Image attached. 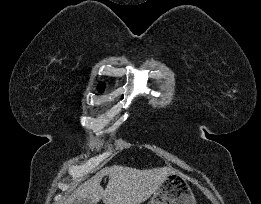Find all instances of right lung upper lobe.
I'll list each match as a JSON object with an SVG mask.
<instances>
[{"label": "right lung upper lobe", "instance_id": "1", "mask_svg": "<svg viewBox=\"0 0 261 204\" xmlns=\"http://www.w3.org/2000/svg\"><path fill=\"white\" fill-rule=\"evenodd\" d=\"M98 88H99V90H103L104 89V85L100 84Z\"/></svg>", "mask_w": 261, "mask_h": 204}]
</instances>
